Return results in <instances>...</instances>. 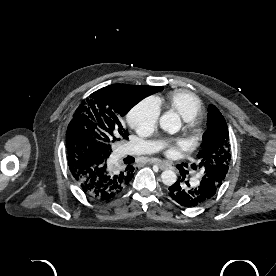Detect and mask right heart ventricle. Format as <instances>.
I'll list each match as a JSON object with an SVG mask.
<instances>
[{
	"label": "right heart ventricle",
	"instance_id": "right-heart-ventricle-1",
	"mask_svg": "<svg viewBox=\"0 0 276 276\" xmlns=\"http://www.w3.org/2000/svg\"><path fill=\"white\" fill-rule=\"evenodd\" d=\"M168 105L185 120L198 117L202 112V103L198 97L187 91H175L166 97Z\"/></svg>",
	"mask_w": 276,
	"mask_h": 276
}]
</instances>
